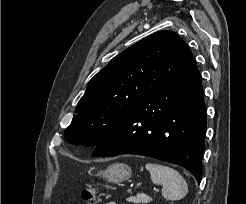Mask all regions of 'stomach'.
Masks as SVG:
<instances>
[{
	"mask_svg": "<svg viewBox=\"0 0 246 204\" xmlns=\"http://www.w3.org/2000/svg\"><path fill=\"white\" fill-rule=\"evenodd\" d=\"M92 175L91 172H89ZM131 168L123 163H114L103 171H99L95 176L101 177L110 183H121L130 178Z\"/></svg>",
	"mask_w": 246,
	"mask_h": 204,
	"instance_id": "obj_1",
	"label": "stomach"
}]
</instances>
